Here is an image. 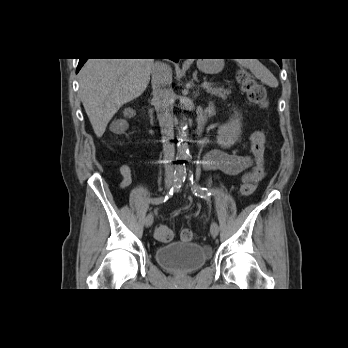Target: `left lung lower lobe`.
Listing matches in <instances>:
<instances>
[{
    "label": "left lung lower lobe",
    "mask_w": 348,
    "mask_h": 348,
    "mask_svg": "<svg viewBox=\"0 0 348 348\" xmlns=\"http://www.w3.org/2000/svg\"><path fill=\"white\" fill-rule=\"evenodd\" d=\"M276 61H277V63L280 65V67H282V62H281V59L276 60Z\"/></svg>",
    "instance_id": "obj_1"
}]
</instances>
